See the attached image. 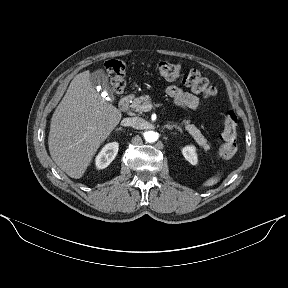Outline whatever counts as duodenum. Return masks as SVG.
Wrapping results in <instances>:
<instances>
[{
	"label": "duodenum",
	"instance_id": "duodenum-1",
	"mask_svg": "<svg viewBox=\"0 0 288 288\" xmlns=\"http://www.w3.org/2000/svg\"><path fill=\"white\" fill-rule=\"evenodd\" d=\"M131 100H132L131 95H125L121 98L119 102V107L123 112L128 111Z\"/></svg>",
	"mask_w": 288,
	"mask_h": 288
}]
</instances>
